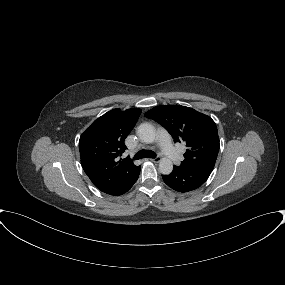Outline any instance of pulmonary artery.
Wrapping results in <instances>:
<instances>
[{
  "mask_svg": "<svg viewBox=\"0 0 285 285\" xmlns=\"http://www.w3.org/2000/svg\"><path fill=\"white\" fill-rule=\"evenodd\" d=\"M157 139L159 145L162 149L163 154L171 161H177L179 159V154L173 147L171 139L167 131L164 129H159L157 132Z\"/></svg>",
  "mask_w": 285,
  "mask_h": 285,
  "instance_id": "e3ab8cb5",
  "label": "pulmonary artery"
}]
</instances>
